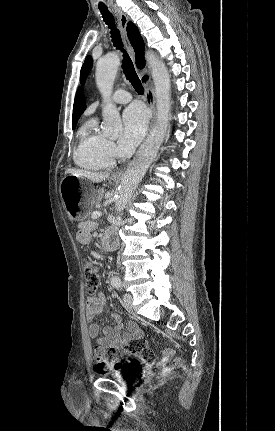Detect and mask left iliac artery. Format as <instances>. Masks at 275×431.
I'll list each match as a JSON object with an SVG mask.
<instances>
[{"label": "left iliac artery", "mask_w": 275, "mask_h": 431, "mask_svg": "<svg viewBox=\"0 0 275 431\" xmlns=\"http://www.w3.org/2000/svg\"><path fill=\"white\" fill-rule=\"evenodd\" d=\"M112 285H113L115 288L119 289V288H121V286H122V282H121V280H119V279H115V280H113V281H112Z\"/></svg>", "instance_id": "1"}]
</instances>
